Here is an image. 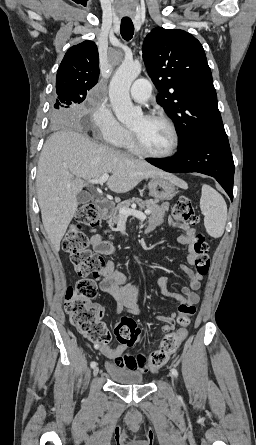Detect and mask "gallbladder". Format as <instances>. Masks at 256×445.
<instances>
[{
  "label": "gallbladder",
  "instance_id": "1",
  "mask_svg": "<svg viewBox=\"0 0 256 445\" xmlns=\"http://www.w3.org/2000/svg\"><path fill=\"white\" fill-rule=\"evenodd\" d=\"M91 196L88 192L82 191L79 192L77 195V201L78 203L84 204L87 203L88 201H90Z\"/></svg>",
  "mask_w": 256,
  "mask_h": 445
}]
</instances>
